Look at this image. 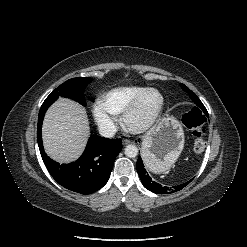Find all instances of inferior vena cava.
Instances as JSON below:
<instances>
[{"label":"inferior vena cava","mask_w":247,"mask_h":247,"mask_svg":"<svg viewBox=\"0 0 247 247\" xmlns=\"http://www.w3.org/2000/svg\"><path fill=\"white\" fill-rule=\"evenodd\" d=\"M117 128L114 124H105L99 126V133L101 136L110 138L115 135Z\"/></svg>","instance_id":"obj_1"}]
</instances>
